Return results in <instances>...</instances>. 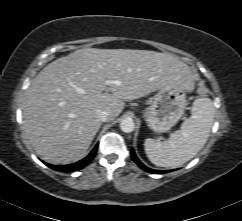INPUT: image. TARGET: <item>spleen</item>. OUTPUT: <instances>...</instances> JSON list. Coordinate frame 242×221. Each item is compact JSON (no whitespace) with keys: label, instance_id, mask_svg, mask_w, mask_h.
<instances>
[{"label":"spleen","instance_id":"1","mask_svg":"<svg viewBox=\"0 0 242 221\" xmlns=\"http://www.w3.org/2000/svg\"><path fill=\"white\" fill-rule=\"evenodd\" d=\"M215 108L209 98L193 102L191 116L172 133L168 140L160 142L148 138L144 148L148 159L156 166L176 168L191 160L204 147L213 125Z\"/></svg>","mask_w":242,"mask_h":221}]
</instances>
